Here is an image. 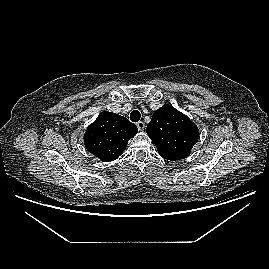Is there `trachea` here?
<instances>
[{
  "mask_svg": "<svg viewBox=\"0 0 269 269\" xmlns=\"http://www.w3.org/2000/svg\"><path fill=\"white\" fill-rule=\"evenodd\" d=\"M141 118V114L138 110H133L131 113H130V120L132 122H138Z\"/></svg>",
  "mask_w": 269,
  "mask_h": 269,
  "instance_id": "3493384b",
  "label": "trachea"
}]
</instances>
